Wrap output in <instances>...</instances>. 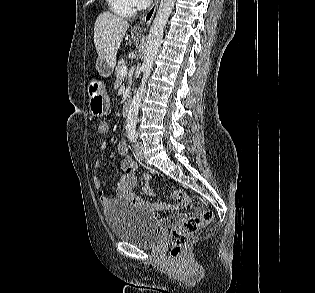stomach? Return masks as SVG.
I'll use <instances>...</instances> for the list:
<instances>
[{"instance_id":"0dacf381","label":"stomach","mask_w":315,"mask_h":293,"mask_svg":"<svg viewBox=\"0 0 315 293\" xmlns=\"http://www.w3.org/2000/svg\"><path fill=\"white\" fill-rule=\"evenodd\" d=\"M89 109L93 116L102 117L108 112L110 100L102 81L93 80L88 86Z\"/></svg>"}]
</instances>
